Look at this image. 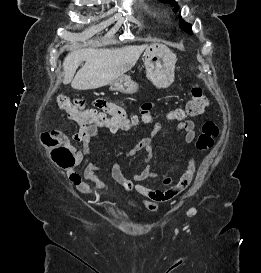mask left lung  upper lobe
Wrapping results in <instances>:
<instances>
[{"label":"left lung upper lobe","mask_w":261,"mask_h":273,"mask_svg":"<svg viewBox=\"0 0 261 273\" xmlns=\"http://www.w3.org/2000/svg\"><path fill=\"white\" fill-rule=\"evenodd\" d=\"M160 1L169 2L171 5L175 6L176 11L178 10L177 3L174 2L173 0H160ZM179 25L183 31L187 32L188 34H192L191 25L189 23H186L184 20L181 19Z\"/></svg>","instance_id":"5c2ea615"}]
</instances>
